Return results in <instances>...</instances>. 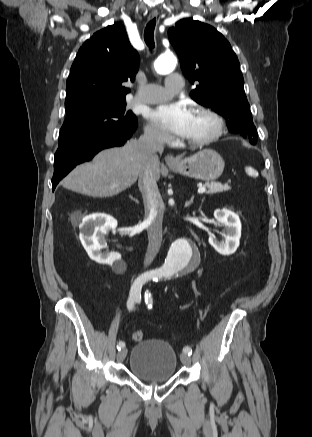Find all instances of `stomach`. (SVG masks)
Segmentation results:
<instances>
[{
    "mask_svg": "<svg viewBox=\"0 0 312 437\" xmlns=\"http://www.w3.org/2000/svg\"><path fill=\"white\" fill-rule=\"evenodd\" d=\"M168 166L172 171L183 176L214 181L221 176L225 164L223 158L215 150L204 149Z\"/></svg>",
    "mask_w": 312,
    "mask_h": 437,
    "instance_id": "obj_1",
    "label": "stomach"
}]
</instances>
